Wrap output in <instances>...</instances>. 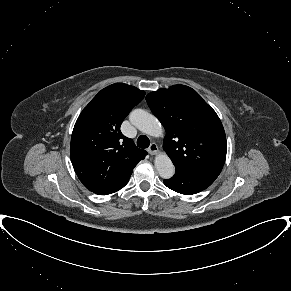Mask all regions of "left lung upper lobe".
<instances>
[{
    "label": "left lung upper lobe",
    "instance_id": "1",
    "mask_svg": "<svg viewBox=\"0 0 291 291\" xmlns=\"http://www.w3.org/2000/svg\"><path fill=\"white\" fill-rule=\"evenodd\" d=\"M146 101L166 130L163 148L175 168L218 176L226 158L225 131L202 97L174 85L149 93Z\"/></svg>",
    "mask_w": 291,
    "mask_h": 291
}]
</instances>
